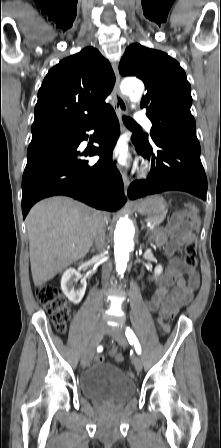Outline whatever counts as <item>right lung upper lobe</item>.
Masks as SVG:
<instances>
[{
    "instance_id": "obj_1",
    "label": "right lung upper lobe",
    "mask_w": 221,
    "mask_h": 448,
    "mask_svg": "<svg viewBox=\"0 0 221 448\" xmlns=\"http://www.w3.org/2000/svg\"><path fill=\"white\" fill-rule=\"evenodd\" d=\"M114 83L110 63L93 47L60 61L38 91L31 143L82 125L110 107L105 98Z\"/></svg>"
}]
</instances>
